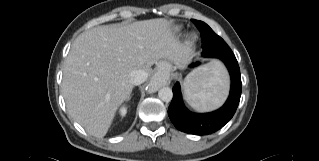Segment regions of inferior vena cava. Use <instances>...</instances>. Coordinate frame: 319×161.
Instances as JSON below:
<instances>
[{
    "mask_svg": "<svg viewBox=\"0 0 319 161\" xmlns=\"http://www.w3.org/2000/svg\"><path fill=\"white\" fill-rule=\"evenodd\" d=\"M147 77L148 74L144 70H133L129 73L130 82L133 85H140L146 81Z\"/></svg>",
    "mask_w": 319,
    "mask_h": 161,
    "instance_id": "1",
    "label": "inferior vena cava"
}]
</instances>
